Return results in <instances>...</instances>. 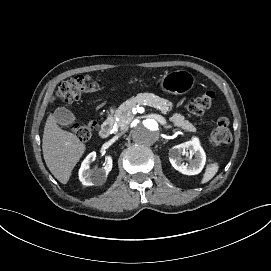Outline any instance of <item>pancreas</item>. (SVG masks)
<instances>
[{"label": "pancreas", "instance_id": "cf45deb5", "mask_svg": "<svg viewBox=\"0 0 271 271\" xmlns=\"http://www.w3.org/2000/svg\"><path fill=\"white\" fill-rule=\"evenodd\" d=\"M140 101L143 105H148L151 103V106L166 113L168 110L172 111L175 108V105L172 102H169L158 96L153 94H140L134 100H127L123 102L115 111L114 117L118 118V121H115L117 128L126 129L128 127V123H130L133 119V115L131 113V109L135 106V102ZM170 121L177 127H182L183 129H187L190 131H195L196 128L194 125L190 124L188 121H185V118L179 114H174L170 117Z\"/></svg>", "mask_w": 271, "mask_h": 271}]
</instances>
